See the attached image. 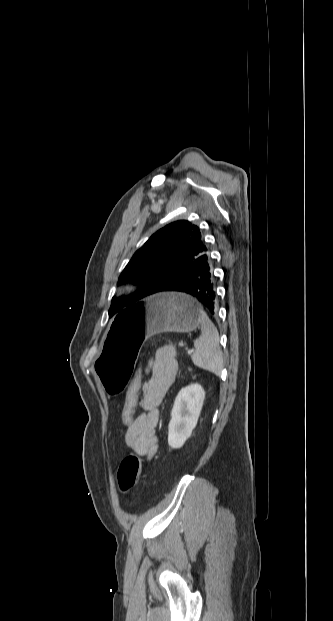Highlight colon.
<instances>
[{"label": "colon", "instance_id": "obj_1", "mask_svg": "<svg viewBox=\"0 0 333 621\" xmlns=\"http://www.w3.org/2000/svg\"><path fill=\"white\" fill-rule=\"evenodd\" d=\"M142 386V377L140 371H136L128 384L125 394L124 403L121 411L122 421L125 424H131L136 418V409L138 407L139 393ZM141 462L137 455L129 454L121 461L118 468V484L123 492L133 488L141 474Z\"/></svg>", "mask_w": 333, "mask_h": 621}]
</instances>
